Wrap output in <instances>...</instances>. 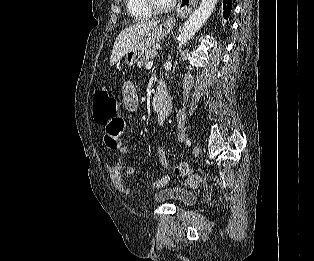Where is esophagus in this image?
I'll use <instances>...</instances> for the list:
<instances>
[{"label":"esophagus","mask_w":314,"mask_h":261,"mask_svg":"<svg viewBox=\"0 0 314 261\" xmlns=\"http://www.w3.org/2000/svg\"><path fill=\"white\" fill-rule=\"evenodd\" d=\"M198 0H190L188 5L180 3L177 7L178 14L188 15L192 12L193 8L197 6Z\"/></svg>","instance_id":"esophagus-1"}]
</instances>
